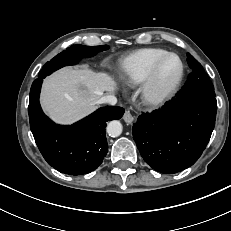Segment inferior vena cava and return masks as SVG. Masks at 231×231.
I'll return each instance as SVG.
<instances>
[{"label":"inferior vena cava","instance_id":"1","mask_svg":"<svg viewBox=\"0 0 231 231\" xmlns=\"http://www.w3.org/2000/svg\"><path fill=\"white\" fill-rule=\"evenodd\" d=\"M99 103L115 105L117 103V98L112 94H106L100 98Z\"/></svg>","mask_w":231,"mask_h":231}]
</instances>
